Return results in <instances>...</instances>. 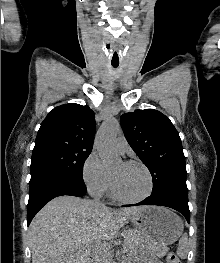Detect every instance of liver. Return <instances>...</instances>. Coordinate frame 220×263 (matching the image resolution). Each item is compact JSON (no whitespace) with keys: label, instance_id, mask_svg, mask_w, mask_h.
Instances as JSON below:
<instances>
[{"label":"liver","instance_id":"obj_1","mask_svg":"<svg viewBox=\"0 0 220 263\" xmlns=\"http://www.w3.org/2000/svg\"><path fill=\"white\" fill-rule=\"evenodd\" d=\"M144 208L113 210L74 196L56 197L29 226L32 263H94L108 250L107 241Z\"/></svg>","mask_w":220,"mask_h":263}]
</instances>
